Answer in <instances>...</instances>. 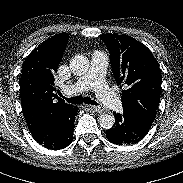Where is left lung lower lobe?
<instances>
[{
    "instance_id": "left-lung-lower-lobe-1",
    "label": "left lung lower lobe",
    "mask_w": 183,
    "mask_h": 183,
    "mask_svg": "<svg viewBox=\"0 0 183 183\" xmlns=\"http://www.w3.org/2000/svg\"><path fill=\"white\" fill-rule=\"evenodd\" d=\"M151 124L152 121L148 118L123 109V113L115 114V124L106 131V137L114 144H134L144 138Z\"/></svg>"
}]
</instances>
